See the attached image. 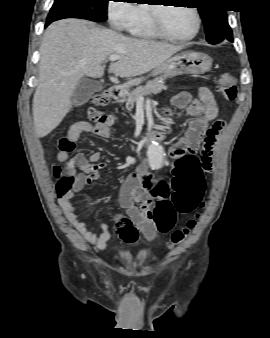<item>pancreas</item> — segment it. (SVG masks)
I'll list each match as a JSON object with an SVG mask.
<instances>
[{
  "label": "pancreas",
  "instance_id": "1",
  "mask_svg": "<svg viewBox=\"0 0 270 338\" xmlns=\"http://www.w3.org/2000/svg\"><path fill=\"white\" fill-rule=\"evenodd\" d=\"M165 79L166 77L161 76L149 81L144 87H137L130 92L126 91L125 97L122 101L126 102V106L130 111L133 108L134 103L138 100L139 96L144 97L151 94H158L163 89H166Z\"/></svg>",
  "mask_w": 270,
  "mask_h": 338
}]
</instances>
